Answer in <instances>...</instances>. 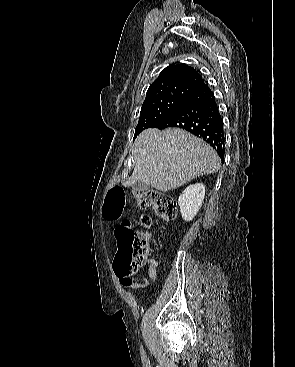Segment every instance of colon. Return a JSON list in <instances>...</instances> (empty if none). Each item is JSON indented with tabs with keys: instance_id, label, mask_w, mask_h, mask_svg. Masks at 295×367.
<instances>
[{
	"instance_id": "obj_1",
	"label": "colon",
	"mask_w": 295,
	"mask_h": 367,
	"mask_svg": "<svg viewBox=\"0 0 295 367\" xmlns=\"http://www.w3.org/2000/svg\"><path fill=\"white\" fill-rule=\"evenodd\" d=\"M136 205L140 208L151 207L155 214L164 219L172 220L177 215V204L174 198L158 190H148L137 193ZM126 205V193L120 186L112 187L107 195L104 217L108 220H118ZM143 226H149L147 217L141 219ZM117 252L114 267L117 275L129 276L143 266L149 256V246L145 237L134 230L128 221L119 224L115 231Z\"/></svg>"
}]
</instances>
